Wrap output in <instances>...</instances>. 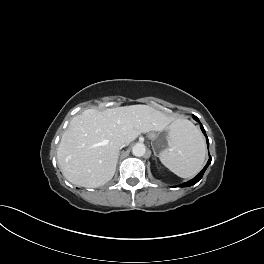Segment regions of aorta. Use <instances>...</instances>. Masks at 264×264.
Wrapping results in <instances>:
<instances>
[{
	"mask_svg": "<svg viewBox=\"0 0 264 264\" xmlns=\"http://www.w3.org/2000/svg\"><path fill=\"white\" fill-rule=\"evenodd\" d=\"M146 153V147L144 144L138 143L133 146L132 154L137 157L144 156Z\"/></svg>",
	"mask_w": 264,
	"mask_h": 264,
	"instance_id": "1",
	"label": "aorta"
}]
</instances>
